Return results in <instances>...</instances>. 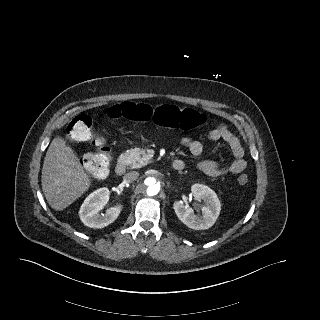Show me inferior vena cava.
Here are the masks:
<instances>
[{
  "mask_svg": "<svg viewBox=\"0 0 320 320\" xmlns=\"http://www.w3.org/2000/svg\"><path fill=\"white\" fill-rule=\"evenodd\" d=\"M139 177V173L137 171H132L124 176V180L127 182L135 181Z\"/></svg>",
  "mask_w": 320,
  "mask_h": 320,
  "instance_id": "602c4592",
  "label": "inferior vena cava"
}]
</instances>
